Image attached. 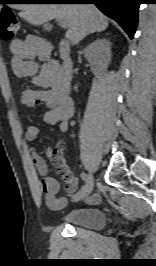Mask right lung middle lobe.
Segmentation results:
<instances>
[{"mask_svg": "<svg viewBox=\"0 0 156 266\" xmlns=\"http://www.w3.org/2000/svg\"><path fill=\"white\" fill-rule=\"evenodd\" d=\"M5 0H1L0 3L4 2Z\"/></svg>", "mask_w": 156, "mask_h": 266, "instance_id": "dd1d6c3e", "label": "right lung middle lobe"}]
</instances>
